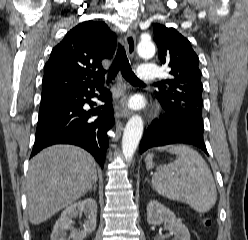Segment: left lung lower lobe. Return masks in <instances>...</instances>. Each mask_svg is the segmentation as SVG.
<instances>
[{"label": "left lung lower lobe", "mask_w": 248, "mask_h": 240, "mask_svg": "<svg viewBox=\"0 0 248 240\" xmlns=\"http://www.w3.org/2000/svg\"><path fill=\"white\" fill-rule=\"evenodd\" d=\"M203 122L196 118L174 119L168 115L152 121L140 142V153L168 144L195 146L207 153Z\"/></svg>", "instance_id": "obj_1"}]
</instances>
